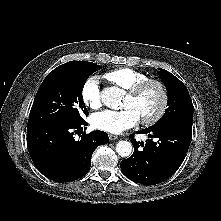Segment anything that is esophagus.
<instances>
[{
	"label": "esophagus",
	"instance_id": "esophagus-1",
	"mask_svg": "<svg viewBox=\"0 0 221 221\" xmlns=\"http://www.w3.org/2000/svg\"><path fill=\"white\" fill-rule=\"evenodd\" d=\"M109 139H110L111 141L117 140V139H118V136H117V135H113V134H109Z\"/></svg>",
	"mask_w": 221,
	"mask_h": 221
}]
</instances>
